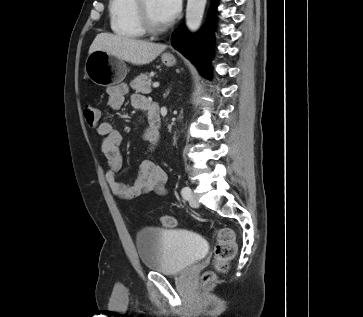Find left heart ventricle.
<instances>
[{"instance_id": "obj_1", "label": "left heart ventricle", "mask_w": 363, "mask_h": 317, "mask_svg": "<svg viewBox=\"0 0 363 317\" xmlns=\"http://www.w3.org/2000/svg\"><path fill=\"white\" fill-rule=\"evenodd\" d=\"M145 7L151 21L157 26H163V22L157 7V0H146Z\"/></svg>"}]
</instances>
